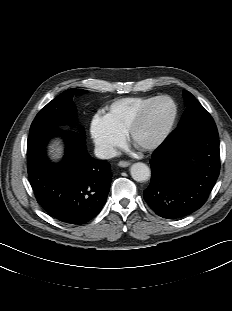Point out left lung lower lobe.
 I'll return each mask as SVG.
<instances>
[{
  "label": "left lung lower lobe",
  "mask_w": 232,
  "mask_h": 311,
  "mask_svg": "<svg viewBox=\"0 0 232 311\" xmlns=\"http://www.w3.org/2000/svg\"><path fill=\"white\" fill-rule=\"evenodd\" d=\"M196 157L193 165L190 157ZM144 199L159 216L177 219L202 207L220 170L219 136L210 115L185 120L153 152Z\"/></svg>",
  "instance_id": "0a47b994"
}]
</instances>
